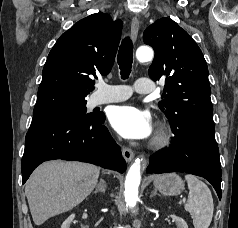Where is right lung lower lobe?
<instances>
[{"instance_id":"right-lung-lower-lobe-1","label":"right lung lower lobe","mask_w":238,"mask_h":228,"mask_svg":"<svg viewBox=\"0 0 238 228\" xmlns=\"http://www.w3.org/2000/svg\"><path fill=\"white\" fill-rule=\"evenodd\" d=\"M104 121V113L89 121L68 115L33 117L25 137L22 183L39 164L53 159L88 162L124 172L121 149L102 125Z\"/></svg>"}]
</instances>
